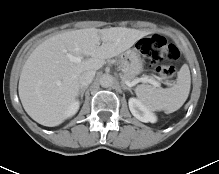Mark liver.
I'll list each match as a JSON object with an SVG mask.
<instances>
[{
    "instance_id": "liver-1",
    "label": "liver",
    "mask_w": 219,
    "mask_h": 174,
    "mask_svg": "<svg viewBox=\"0 0 219 174\" xmlns=\"http://www.w3.org/2000/svg\"><path fill=\"white\" fill-rule=\"evenodd\" d=\"M145 35V31L125 27L86 28L46 39L21 71L18 91L25 111L41 125L61 124L79 94L81 74L100 69L106 59L126 51ZM69 54L89 58L74 62Z\"/></svg>"
}]
</instances>
